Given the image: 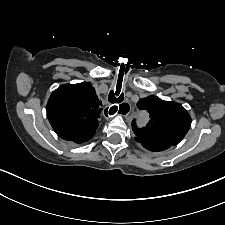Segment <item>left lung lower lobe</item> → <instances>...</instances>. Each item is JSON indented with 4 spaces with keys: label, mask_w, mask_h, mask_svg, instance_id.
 Instances as JSON below:
<instances>
[{
    "label": "left lung lower lobe",
    "mask_w": 225,
    "mask_h": 225,
    "mask_svg": "<svg viewBox=\"0 0 225 225\" xmlns=\"http://www.w3.org/2000/svg\"><path fill=\"white\" fill-rule=\"evenodd\" d=\"M137 142H139L144 148L150 151L159 152L168 149L170 146L163 144H154L146 141H142L140 139L135 138Z\"/></svg>",
    "instance_id": "1"
}]
</instances>
